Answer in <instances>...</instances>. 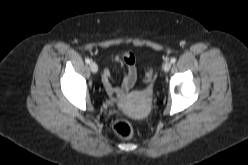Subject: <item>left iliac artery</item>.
<instances>
[{
    "mask_svg": "<svg viewBox=\"0 0 248 165\" xmlns=\"http://www.w3.org/2000/svg\"><path fill=\"white\" fill-rule=\"evenodd\" d=\"M176 62V58H171V63H175Z\"/></svg>",
    "mask_w": 248,
    "mask_h": 165,
    "instance_id": "44dca946",
    "label": "left iliac artery"
}]
</instances>
